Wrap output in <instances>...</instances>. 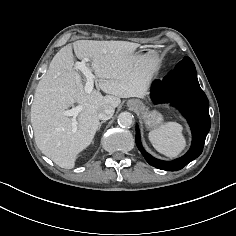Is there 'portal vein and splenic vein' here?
Returning a JSON list of instances; mask_svg holds the SVG:
<instances>
[{
  "instance_id": "1",
  "label": "portal vein and splenic vein",
  "mask_w": 236,
  "mask_h": 236,
  "mask_svg": "<svg viewBox=\"0 0 236 236\" xmlns=\"http://www.w3.org/2000/svg\"><path fill=\"white\" fill-rule=\"evenodd\" d=\"M86 62H88V59H84L81 62H76L74 68L77 70L79 69L86 77V83L84 89L87 93H91L93 91L94 81L96 80V77L87 67ZM81 110H82L81 106H76L70 110L63 111L62 113L65 116L73 117V120L75 121L76 117L81 112Z\"/></svg>"
}]
</instances>
